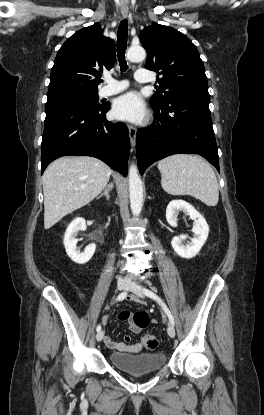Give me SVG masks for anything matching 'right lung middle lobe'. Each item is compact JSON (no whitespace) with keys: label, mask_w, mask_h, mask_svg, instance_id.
Listing matches in <instances>:
<instances>
[{"label":"right lung middle lobe","mask_w":264,"mask_h":415,"mask_svg":"<svg viewBox=\"0 0 264 415\" xmlns=\"http://www.w3.org/2000/svg\"><path fill=\"white\" fill-rule=\"evenodd\" d=\"M98 93L81 94L68 93L53 98H48L45 110H52L62 107H83L97 109L101 107L98 103Z\"/></svg>","instance_id":"obj_1"}]
</instances>
